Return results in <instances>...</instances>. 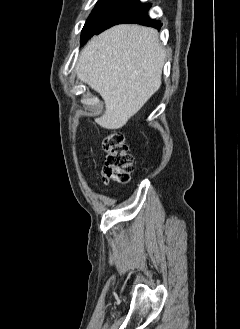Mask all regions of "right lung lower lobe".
I'll list each match as a JSON object with an SVG mask.
<instances>
[{
    "label": "right lung lower lobe",
    "mask_w": 240,
    "mask_h": 329,
    "mask_svg": "<svg viewBox=\"0 0 240 329\" xmlns=\"http://www.w3.org/2000/svg\"><path fill=\"white\" fill-rule=\"evenodd\" d=\"M150 7V3L141 4L139 0H121L101 21L94 34L121 23H137L159 29L160 21L152 20L148 16Z\"/></svg>",
    "instance_id": "98d812e1"
}]
</instances>
